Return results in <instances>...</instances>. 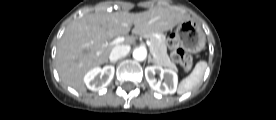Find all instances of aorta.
I'll return each mask as SVG.
<instances>
[{
	"label": "aorta",
	"instance_id": "1",
	"mask_svg": "<svg viewBox=\"0 0 276 120\" xmlns=\"http://www.w3.org/2000/svg\"><path fill=\"white\" fill-rule=\"evenodd\" d=\"M147 52L144 48H136L133 51V58L137 61H144L146 59Z\"/></svg>",
	"mask_w": 276,
	"mask_h": 120
}]
</instances>
